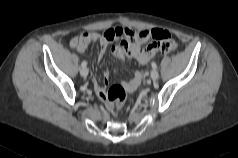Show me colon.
Listing matches in <instances>:
<instances>
[{
    "label": "colon",
    "mask_w": 238,
    "mask_h": 158,
    "mask_svg": "<svg viewBox=\"0 0 238 158\" xmlns=\"http://www.w3.org/2000/svg\"><path fill=\"white\" fill-rule=\"evenodd\" d=\"M177 47V43L169 36H164L160 41V50L164 53L175 51ZM104 98L107 100L109 108L112 111H119L125 104L127 91L124 86L115 84L105 92Z\"/></svg>",
    "instance_id": "5ec220e1"
}]
</instances>
